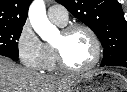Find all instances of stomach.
<instances>
[{
  "label": "stomach",
  "mask_w": 127,
  "mask_h": 92,
  "mask_svg": "<svg viewBox=\"0 0 127 92\" xmlns=\"http://www.w3.org/2000/svg\"><path fill=\"white\" fill-rule=\"evenodd\" d=\"M127 79L112 71H92L82 76L70 92H125Z\"/></svg>",
  "instance_id": "1"
}]
</instances>
